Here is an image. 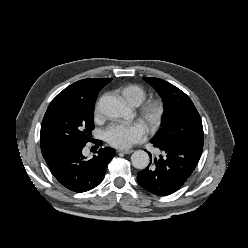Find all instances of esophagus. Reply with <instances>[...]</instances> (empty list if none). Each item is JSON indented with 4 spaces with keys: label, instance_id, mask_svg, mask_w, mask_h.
Here are the masks:
<instances>
[{
    "label": "esophagus",
    "instance_id": "34e87169",
    "mask_svg": "<svg viewBox=\"0 0 248 248\" xmlns=\"http://www.w3.org/2000/svg\"><path fill=\"white\" fill-rule=\"evenodd\" d=\"M118 152H121L123 154H131L133 153V150L132 149H120L118 150Z\"/></svg>",
    "mask_w": 248,
    "mask_h": 248
}]
</instances>
